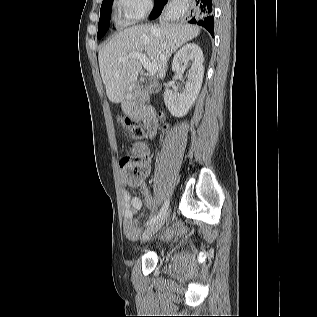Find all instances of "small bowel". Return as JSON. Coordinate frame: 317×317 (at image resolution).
<instances>
[{"label": "small bowel", "mask_w": 317, "mask_h": 317, "mask_svg": "<svg viewBox=\"0 0 317 317\" xmlns=\"http://www.w3.org/2000/svg\"><path fill=\"white\" fill-rule=\"evenodd\" d=\"M135 152L144 158L146 162L148 163V166H150V160L148 157V148L141 144L138 145L135 148ZM123 182L126 184H129L131 186H137L141 189L145 202L147 204V207L152 211L153 213L156 211L157 207L155 204V201L152 199L149 190L147 186L143 183V180H139L137 182H130L126 176L123 177ZM123 198H124V232L126 236L133 239L135 238L139 233V226L138 222L134 220V216L137 215L141 209H142V201L141 199L137 197H131V195L127 192H123Z\"/></svg>", "instance_id": "obj_1"}]
</instances>
